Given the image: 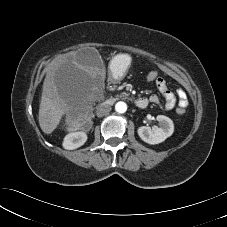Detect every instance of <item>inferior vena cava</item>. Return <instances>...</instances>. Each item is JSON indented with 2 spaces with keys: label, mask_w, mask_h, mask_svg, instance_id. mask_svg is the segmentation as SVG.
Here are the masks:
<instances>
[{
  "label": "inferior vena cava",
  "mask_w": 227,
  "mask_h": 227,
  "mask_svg": "<svg viewBox=\"0 0 227 227\" xmlns=\"http://www.w3.org/2000/svg\"><path fill=\"white\" fill-rule=\"evenodd\" d=\"M111 106L105 103H102L98 106L96 114L98 117H102L104 115H107L111 111Z\"/></svg>",
  "instance_id": "602c4592"
}]
</instances>
